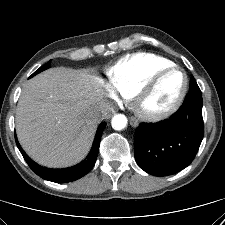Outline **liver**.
<instances>
[{
  "instance_id": "6515ba94",
  "label": "liver",
  "mask_w": 225,
  "mask_h": 225,
  "mask_svg": "<svg viewBox=\"0 0 225 225\" xmlns=\"http://www.w3.org/2000/svg\"><path fill=\"white\" fill-rule=\"evenodd\" d=\"M102 102L99 83L88 71L48 69L22 90L16 110L18 140L41 165H74L90 150Z\"/></svg>"
}]
</instances>
